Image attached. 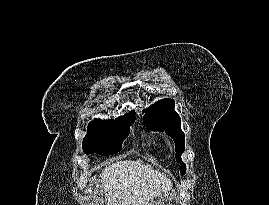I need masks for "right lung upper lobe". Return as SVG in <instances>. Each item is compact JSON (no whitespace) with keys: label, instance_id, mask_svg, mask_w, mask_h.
<instances>
[{"label":"right lung upper lobe","instance_id":"cb5924a9","mask_svg":"<svg viewBox=\"0 0 269 205\" xmlns=\"http://www.w3.org/2000/svg\"><path fill=\"white\" fill-rule=\"evenodd\" d=\"M135 116V112L131 111L129 114H126L125 116L119 117L118 119H124V118H129Z\"/></svg>","mask_w":269,"mask_h":205}]
</instances>
